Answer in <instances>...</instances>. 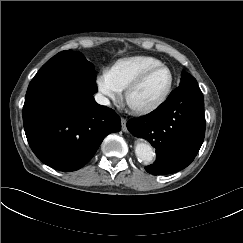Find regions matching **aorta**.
I'll return each instance as SVG.
<instances>
[{
    "label": "aorta",
    "mask_w": 243,
    "mask_h": 243,
    "mask_svg": "<svg viewBox=\"0 0 243 243\" xmlns=\"http://www.w3.org/2000/svg\"><path fill=\"white\" fill-rule=\"evenodd\" d=\"M135 154L138 160L145 163L151 162L154 157L153 148L145 142H138L136 144Z\"/></svg>",
    "instance_id": "762f6f07"
}]
</instances>
